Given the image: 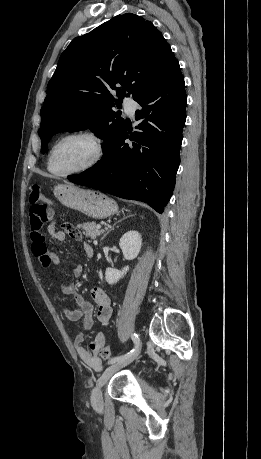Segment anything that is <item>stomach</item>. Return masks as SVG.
Returning <instances> with one entry per match:
<instances>
[{
  "label": "stomach",
  "instance_id": "stomach-1",
  "mask_svg": "<svg viewBox=\"0 0 261 459\" xmlns=\"http://www.w3.org/2000/svg\"><path fill=\"white\" fill-rule=\"evenodd\" d=\"M54 195L62 205L91 218L103 219L118 212L117 203L113 199L95 190L60 184L54 188Z\"/></svg>",
  "mask_w": 261,
  "mask_h": 459
}]
</instances>
